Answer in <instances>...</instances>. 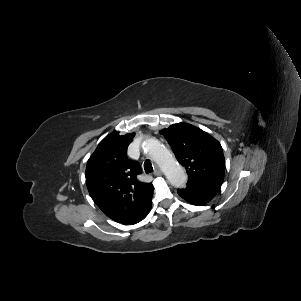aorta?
<instances>
[{
  "instance_id": "aorta-1",
  "label": "aorta",
  "mask_w": 301,
  "mask_h": 301,
  "mask_svg": "<svg viewBox=\"0 0 301 301\" xmlns=\"http://www.w3.org/2000/svg\"><path fill=\"white\" fill-rule=\"evenodd\" d=\"M144 151L160 166L167 180L177 188L185 187L187 176L173 155L157 139L148 138L142 145Z\"/></svg>"
}]
</instances>
